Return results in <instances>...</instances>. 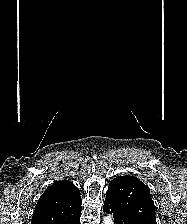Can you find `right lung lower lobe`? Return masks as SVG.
I'll return each mask as SVG.
<instances>
[{
	"label": "right lung lower lobe",
	"instance_id": "98d812e1",
	"mask_svg": "<svg viewBox=\"0 0 187 224\" xmlns=\"http://www.w3.org/2000/svg\"><path fill=\"white\" fill-rule=\"evenodd\" d=\"M80 215L81 212L73 217L67 224H80Z\"/></svg>",
	"mask_w": 187,
	"mask_h": 224
}]
</instances>
